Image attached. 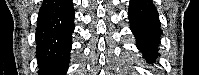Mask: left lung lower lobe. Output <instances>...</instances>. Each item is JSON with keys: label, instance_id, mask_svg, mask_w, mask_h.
I'll return each instance as SVG.
<instances>
[{"label": "left lung lower lobe", "instance_id": "0a47b994", "mask_svg": "<svg viewBox=\"0 0 199 75\" xmlns=\"http://www.w3.org/2000/svg\"><path fill=\"white\" fill-rule=\"evenodd\" d=\"M128 16L137 48L148 63L156 62L162 30L155 5L151 0H130Z\"/></svg>", "mask_w": 199, "mask_h": 75}]
</instances>
